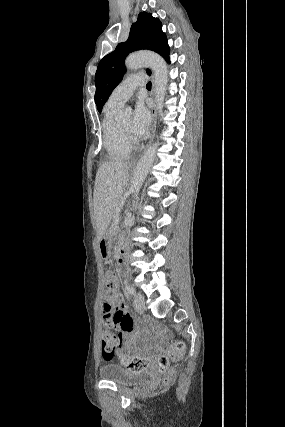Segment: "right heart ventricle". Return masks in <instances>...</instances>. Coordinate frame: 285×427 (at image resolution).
Instances as JSON below:
<instances>
[{
    "label": "right heart ventricle",
    "instance_id": "right-heart-ventricle-1",
    "mask_svg": "<svg viewBox=\"0 0 285 427\" xmlns=\"http://www.w3.org/2000/svg\"><path fill=\"white\" fill-rule=\"evenodd\" d=\"M120 107L108 102L102 121L103 147L108 157L114 161L126 160L132 152V145L126 140L116 119Z\"/></svg>",
    "mask_w": 285,
    "mask_h": 427
}]
</instances>
